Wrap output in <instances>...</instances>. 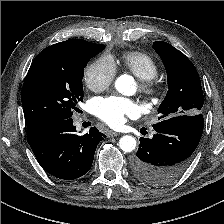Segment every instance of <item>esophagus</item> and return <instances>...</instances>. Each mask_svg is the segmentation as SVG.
<instances>
[{"instance_id": "esophagus-1", "label": "esophagus", "mask_w": 224, "mask_h": 224, "mask_svg": "<svg viewBox=\"0 0 224 224\" xmlns=\"http://www.w3.org/2000/svg\"><path fill=\"white\" fill-rule=\"evenodd\" d=\"M119 135H120V133L113 132V131H110V132L108 133V136H109V137H116V136H119Z\"/></svg>"}]
</instances>
